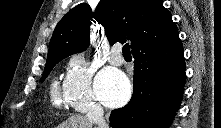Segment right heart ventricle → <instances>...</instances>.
<instances>
[{
	"label": "right heart ventricle",
	"instance_id": "right-heart-ventricle-1",
	"mask_svg": "<svg viewBox=\"0 0 221 128\" xmlns=\"http://www.w3.org/2000/svg\"><path fill=\"white\" fill-rule=\"evenodd\" d=\"M51 98L55 107L60 109H65L69 107V98L64 88L60 87L57 81L52 82Z\"/></svg>",
	"mask_w": 221,
	"mask_h": 128
}]
</instances>
